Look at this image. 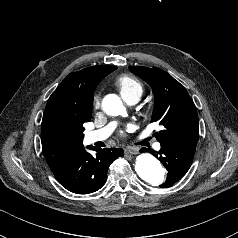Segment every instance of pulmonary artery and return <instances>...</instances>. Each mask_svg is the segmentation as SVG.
Masks as SVG:
<instances>
[{"mask_svg": "<svg viewBox=\"0 0 238 238\" xmlns=\"http://www.w3.org/2000/svg\"><path fill=\"white\" fill-rule=\"evenodd\" d=\"M124 100L128 105H134L138 102L139 98L136 96H131V97L124 98ZM115 126H116V123L111 122L103 128L86 133L85 142L87 144H92V143L107 139L113 132ZM160 148H161V145L159 142L154 143L155 150H159Z\"/></svg>", "mask_w": 238, "mask_h": 238, "instance_id": "1", "label": "pulmonary artery"}]
</instances>
